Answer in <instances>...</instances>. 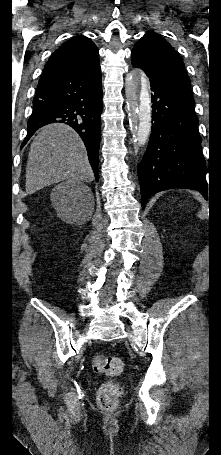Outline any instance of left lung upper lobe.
I'll list each match as a JSON object with an SVG mask.
<instances>
[{
    "mask_svg": "<svg viewBox=\"0 0 221 455\" xmlns=\"http://www.w3.org/2000/svg\"><path fill=\"white\" fill-rule=\"evenodd\" d=\"M134 67H140L149 77L167 85L172 90L193 99L190 79L185 66L174 48L159 34L148 31L131 53Z\"/></svg>",
    "mask_w": 221,
    "mask_h": 455,
    "instance_id": "5c2ea615",
    "label": "left lung upper lobe"
}]
</instances>
